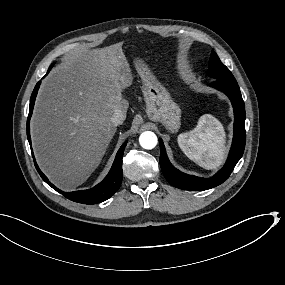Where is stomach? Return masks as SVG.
Instances as JSON below:
<instances>
[{
  "mask_svg": "<svg viewBox=\"0 0 285 285\" xmlns=\"http://www.w3.org/2000/svg\"><path fill=\"white\" fill-rule=\"evenodd\" d=\"M136 70L142 80V92L146 113L155 122H161L166 129L176 132L180 128L181 109L168 90L156 79L142 60H135Z\"/></svg>",
  "mask_w": 285,
  "mask_h": 285,
  "instance_id": "obj_1",
  "label": "stomach"
}]
</instances>
